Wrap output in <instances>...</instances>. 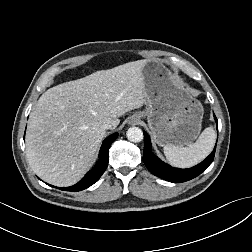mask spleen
<instances>
[{"mask_svg":"<svg viewBox=\"0 0 252 252\" xmlns=\"http://www.w3.org/2000/svg\"><path fill=\"white\" fill-rule=\"evenodd\" d=\"M216 141V133L212 127H207L195 143L183 147L165 145L164 154L167 160L176 167L187 168L196 165L212 151Z\"/></svg>","mask_w":252,"mask_h":252,"instance_id":"3e777b00","label":"spleen"}]
</instances>
